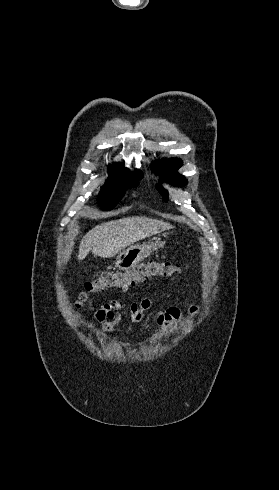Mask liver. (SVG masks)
Returning a JSON list of instances; mask_svg holds the SVG:
<instances>
[{
    "mask_svg": "<svg viewBox=\"0 0 279 490\" xmlns=\"http://www.w3.org/2000/svg\"><path fill=\"white\" fill-rule=\"evenodd\" d=\"M171 228L173 226L166 222L151 220V218H138V216L106 222L83 236L77 258L85 260L89 252L100 258H113L127 246L149 238V236L161 234L165 230H171Z\"/></svg>",
    "mask_w": 279,
    "mask_h": 490,
    "instance_id": "liver-1",
    "label": "liver"
}]
</instances>
